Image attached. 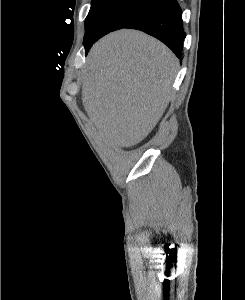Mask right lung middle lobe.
<instances>
[{
    "label": "right lung middle lobe",
    "mask_w": 245,
    "mask_h": 300,
    "mask_svg": "<svg viewBox=\"0 0 245 300\" xmlns=\"http://www.w3.org/2000/svg\"><path fill=\"white\" fill-rule=\"evenodd\" d=\"M158 4L153 0H92L85 21V47L111 31L124 28Z\"/></svg>",
    "instance_id": "right-lung-middle-lobe-1"
}]
</instances>
